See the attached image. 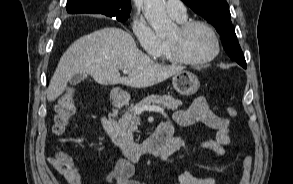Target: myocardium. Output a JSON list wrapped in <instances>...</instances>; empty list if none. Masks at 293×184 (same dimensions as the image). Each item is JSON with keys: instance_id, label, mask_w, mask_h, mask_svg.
<instances>
[{"instance_id": "f54148a6", "label": "myocardium", "mask_w": 293, "mask_h": 184, "mask_svg": "<svg viewBox=\"0 0 293 184\" xmlns=\"http://www.w3.org/2000/svg\"><path fill=\"white\" fill-rule=\"evenodd\" d=\"M196 26H202V27L206 28L211 33L213 40H214L213 52L209 56L202 58V59H197V60L190 59V58H187L182 53L181 48H180V43L178 40L168 39V46H169L170 54H171V57L174 61L181 63V64H185V65L199 66V65H203V64H206V63L213 61L219 55L220 50H221V43H220L219 35H218L217 31L215 30V28L210 23H208L206 21L189 20V21H184L182 23H179V25L177 26V31H178L179 37H182L189 30H191L192 28H194Z\"/></svg>"}]
</instances>
